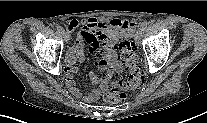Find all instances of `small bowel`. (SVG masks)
Masks as SVG:
<instances>
[{"mask_svg": "<svg viewBox=\"0 0 207 123\" xmlns=\"http://www.w3.org/2000/svg\"><path fill=\"white\" fill-rule=\"evenodd\" d=\"M135 26V22L119 18H113L108 22L89 18L70 20L66 23L68 31H74L76 28L82 27L74 45L69 48L66 54V85L75 97L82 98L85 102H92L96 98L95 92L83 95L74 80V74L77 72L75 63L85 59L84 44L89 45L91 54L101 55V59L97 62L99 70L103 71L110 66L116 67L118 64L116 62L115 46L118 45L120 40L128 38L134 32ZM90 78L93 85H98L100 82V75L96 72H92Z\"/></svg>", "mask_w": 207, "mask_h": 123, "instance_id": "1", "label": "small bowel"}]
</instances>
